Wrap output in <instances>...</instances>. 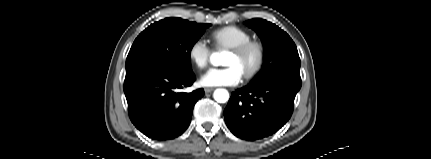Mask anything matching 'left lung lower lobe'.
I'll use <instances>...</instances> for the list:
<instances>
[{
	"mask_svg": "<svg viewBox=\"0 0 431 159\" xmlns=\"http://www.w3.org/2000/svg\"><path fill=\"white\" fill-rule=\"evenodd\" d=\"M300 88L301 79L277 76L236 90L224 110L227 127L247 141L274 134L290 119Z\"/></svg>",
	"mask_w": 431,
	"mask_h": 159,
	"instance_id": "obj_1",
	"label": "left lung lower lobe"
}]
</instances>
